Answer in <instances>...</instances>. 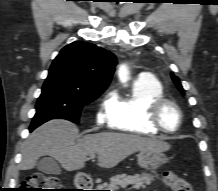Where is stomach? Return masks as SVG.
Segmentation results:
<instances>
[{
    "label": "stomach",
    "instance_id": "obj_1",
    "mask_svg": "<svg viewBox=\"0 0 218 191\" xmlns=\"http://www.w3.org/2000/svg\"><path fill=\"white\" fill-rule=\"evenodd\" d=\"M138 164L146 169L154 171L167 162V158L162 151L142 150L138 154Z\"/></svg>",
    "mask_w": 218,
    "mask_h": 191
}]
</instances>
